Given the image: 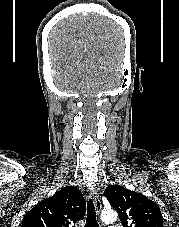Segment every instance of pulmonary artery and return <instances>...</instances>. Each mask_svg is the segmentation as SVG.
<instances>
[{"instance_id": "e3ab8cb5", "label": "pulmonary artery", "mask_w": 179, "mask_h": 227, "mask_svg": "<svg viewBox=\"0 0 179 227\" xmlns=\"http://www.w3.org/2000/svg\"><path fill=\"white\" fill-rule=\"evenodd\" d=\"M109 227H121L119 224H111Z\"/></svg>"}]
</instances>
